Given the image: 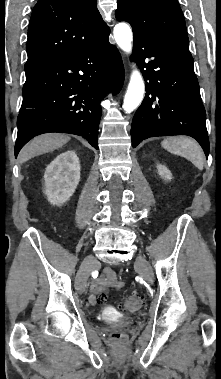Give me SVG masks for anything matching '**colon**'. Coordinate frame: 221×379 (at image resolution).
Masks as SVG:
<instances>
[{
	"mask_svg": "<svg viewBox=\"0 0 221 379\" xmlns=\"http://www.w3.org/2000/svg\"><path fill=\"white\" fill-rule=\"evenodd\" d=\"M105 297L103 295L99 296L98 302L103 303ZM143 297L139 294H130L126 296L121 302V308L125 311H135L141 307L143 304ZM111 338L113 340H123L125 338V334L122 332H113L111 334Z\"/></svg>",
	"mask_w": 221,
	"mask_h": 379,
	"instance_id": "1",
	"label": "colon"
}]
</instances>
